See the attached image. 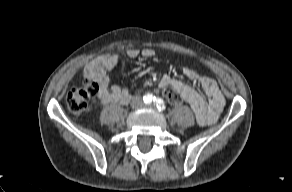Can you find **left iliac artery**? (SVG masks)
<instances>
[{
	"mask_svg": "<svg viewBox=\"0 0 292 192\" xmlns=\"http://www.w3.org/2000/svg\"><path fill=\"white\" fill-rule=\"evenodd\" d=\"M153 102H154V104L156 105V107L158 108L159 111L166 109L165 102L161 98L154 97Z\"/></svg>",
	"mask_w": 292,
	"mask_h": 192,
	"instance_id": "left-iliac-artery-1",
	"label": "left iliac artery"
}]
</instances>
